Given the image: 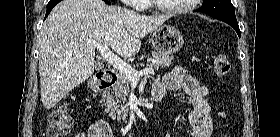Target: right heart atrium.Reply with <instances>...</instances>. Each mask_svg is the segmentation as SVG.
Returning <instances> with one entry per match:
<instances>
[{
    "label": "right heart atrium",
    "mask_w": 280,
    "mask_h": 137,
    "mask_svg": "<svg viewBox=\"0 0 280 137\" xmlns=\"http://www.w3.org/2000/svg\"><path fill=\"white\" fill-rule=\"evenodd\" d=\"M145 0H129V5L134 7L135 9H143Z\"/></svg>",
    "instance_id": "d8ad5b80"
}]
</instances>
